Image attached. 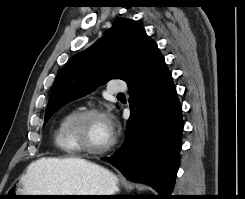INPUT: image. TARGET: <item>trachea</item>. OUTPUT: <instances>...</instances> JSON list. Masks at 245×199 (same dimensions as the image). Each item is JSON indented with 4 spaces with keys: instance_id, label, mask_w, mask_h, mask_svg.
I'll return each mask as SVG.
<instances>
[{
    "instance_id": "1",
    "label": "trachea",
    "mask_w": 245,
    "mask_h": 199,
    "mask_svg": "<svg viewBox=\"0 0 245 199\" xmlns=\"http://www.w3.org/2000/svg\"><path fill=\"white\" fill-rule=\"evenodd\" d=\"M117 96H125L123 93H119Z\"/></svg>"
}]
</instances>
